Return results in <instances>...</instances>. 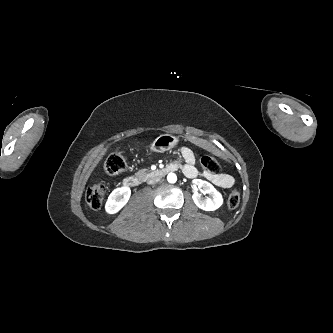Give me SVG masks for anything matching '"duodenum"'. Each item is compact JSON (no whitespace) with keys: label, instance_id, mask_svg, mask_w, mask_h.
Masks as SVG:
<instances>
[{"label":"duodenum","instance_id":"410a0bca","mask_svg":"<svg viewBox=\"0 0 333 333\" xmlns=\"http://www.w3.org/2000/svg\"><path fill=\"white\" fill-rule=\"evenodd\" d=\"M177 168L178 167L176 164L171 163L163 168H159V169L153 171L152 175L155 177L165 176L168 173L177 170ZM141 182H142L141 177H139L137 175H130L123 179V184L127 187H137L141 184Z\"/></svg>","mask_w":333,"mask_h":333}]
</instances>
